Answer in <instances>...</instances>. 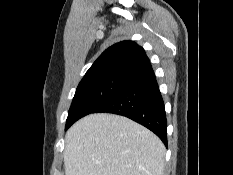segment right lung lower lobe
<instances>
[{
  "label": "right lung lower lobe",
  "instance_id": "1",
  "mask_svg": "<svg viewBox=\"0 0 233 175\" xmlns=\"http://www.w3.org/2000/svg\"><path fill=\"white\" fill-rule=\"evenodd\" d=\"M126 116L154 132L167 146V120L164 102L151 69L134 78L115 97L93 113Z\"/></svg>",
  "mask_w": 233,
  "mask_h": 175
}]
</instances>
